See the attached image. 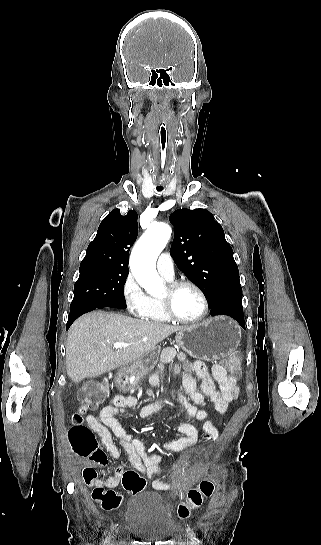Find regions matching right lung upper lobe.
Wrapping results in <instances>:
<instances>
[{
	"instance_id": "cb5924a9",
	"label": "right lung upper lobe",
	"mask_w": 321,
	"mask_h": 545,
	"mask_svg": "<svg viewBox=\"0 0 321 545\" xmlns=\"http://www.w3.org/2000/svg\"><path fill=\"white\" fill-rule=\"evenodd\" d=\"M137 217L133 210H129L126 215H121L119 209L111 211L89 244L80 269L97 267L128 270L130 246L138 234Z\"/></svg>"
}]
</instances>
